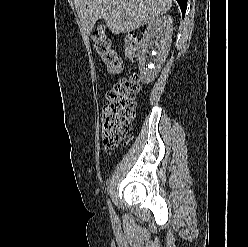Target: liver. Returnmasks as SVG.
I'll return each mask as SVG.
<instances>
[{
  "label": "liver",
  "mask_w": 248,
  "mask_h": 247,
  "mask_svg": "<svg viewBox=\"0 0 248 247\" xmlns=\"http://www.w3.org/2000/svg\"><path fill=\"white\" fill-rule=\"evenodd\" d=\"M74 4L86 35L98 19H104L113 34H120L162 16L171 8L172 0H74Z\"/></svg>",
  "instance_id": "liver-1"
}]
</instances>
